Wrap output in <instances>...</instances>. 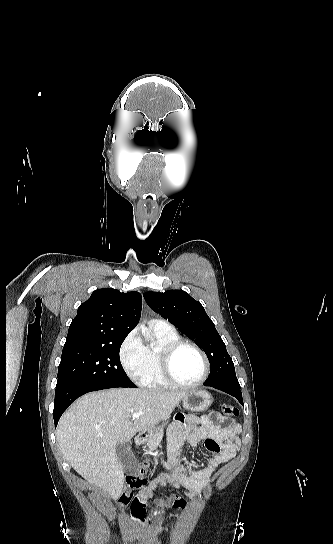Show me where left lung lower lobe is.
<instances>
[{
	"label": "left lung lower lobe",
	"mask_w": 333,
	"mask_h": 544,
	"mask_svg": "<svg viewBox=\"0 0 333 544\" xmlns=\"http://www.w3.org/2000/svg\"><path fill=\"white\" fill-rule=\"evenodd\" d=\"M207 386V385H206ZM210 387L216 388L218 390L224 391L233 397H235L242 405H243V399H242V393L240 391V386H233V385H212Z\"/></svg>",
	"instance_id": "left-lung-lower-lobe-1"
}]
</instances>
